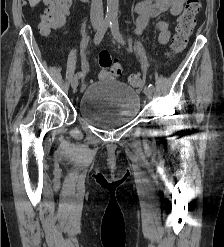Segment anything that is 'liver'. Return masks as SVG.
I'll return each mask as SVG.
<instances>
[{
    "mask_svg": "<svg viewBox=\"0 0 224 247\" xmlns=\"http://www.w3.org/2000/svg\"><path fill=\"white\" fill-rule=\"evenodd\" d=\"M31 8H34V6H37V4H39V2H41V0H28Z\"/></svg>",
    "mask_w": 224,
    "mask_h": 247,
    "instance_id": "6515ba94",
    "label": "liver"
}]
</instances>
